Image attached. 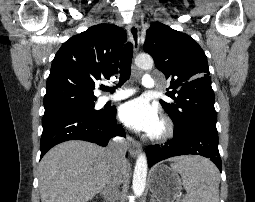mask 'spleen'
<instances>
[{"label":"spleen","instance_id":"1","mask_svg":"<svg viewBox=\"0 0 255 202\" xmlns=\"http://www.w3.org/2000/svg\"><path fill=\"white\" fill-rule=\"evenodd\" d=\"M170 166L173 171L180 173L187 192L181 202H219L220 175L211 161L189 156L182 157Z\"/></svg>","mask_w":255,"mask_h":202}]
</instances>
